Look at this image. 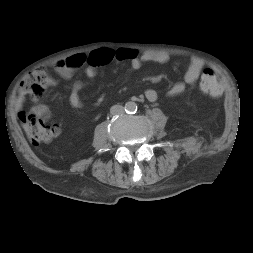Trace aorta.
I'll use <instances>...</instances> for the list:
<instances>
[{
	"instance_id": "762f6f07",
	"label": "aorta",
	"mask_w": 253,
	"mask_h": 253,
	"mask_svg": "<svg viewBox=\"0 0 253 253\" xmlns=\"http://www.w3.org/2000/svg\"><path fill=\"white\" fill-rule=\"evenodd\" d=\"M124 109L128 114L135 113L137 111V104L133 101H128L126 102Z\"/></svg>"
}]
</instances>
